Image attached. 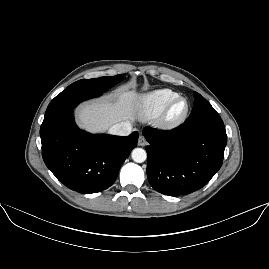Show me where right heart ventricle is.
Here are the masks:
<instances>
[{"instance_id":"1","label":"right heart ventricle","mask_w":269,"mask_h":269,"mask_svg":"<svg viewBox=\"0 0 269 269\" xmlns=\"http://www.w3.org/2000/svg\"><path fill=\"white\" fill-rule=\"evenodd\" d=\"M179 95L170 89H158L147 93L142 98L144 113L148 116L161 115L171 101Z\"/></svg>"}]
</instances>
